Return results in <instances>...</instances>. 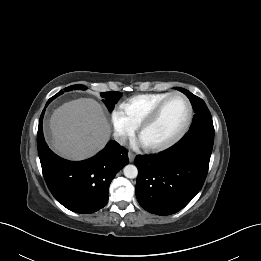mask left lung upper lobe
<instances>
[{
    "label": "left lung upper lobe",
    "mask_w": 261,
    "mask_h": 261,
    "mask_svg": "<svg viewBox=\"0 0 261 261\" xmlns=\"http://www.w3.org/2000/svg\"><path fill=\"white\" fill-rule=\"evenodd\" d=\"M176 89L184 93L189 98L193 106V110L195 112V115L193 117V122L191 124L189 131L206 130V131L214 132L211 114L205 102L184 88L176 87Z\"/></svg>",
    "instance_id": "1"
}]
</instances>
